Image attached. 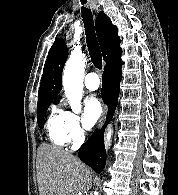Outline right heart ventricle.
<instances>
[{
  "mask_svg": "<svg viewBox=\"0 0 178 195\" xmlns=\"http://www.w3.org/2000/svg\"><path fill=\"white\" fill-rule=\"evenodd\" d=\"M46 129L49 139L53 144L65 146L70 140L65 129V112L53 108L47 123Z\"/></svg>",
  "mask_w": 178,
  "mask_h": 195,
  "instance_id": "e07e8e85",
  "label": "right heart ventricle"
}]
</instances>
